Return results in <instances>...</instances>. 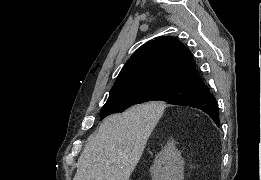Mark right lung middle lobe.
Listing matches in <instances>:
<instances>
[{
    "label": "right lung middle lobe",
    "mask_w": 261,
    "mask_h": 180,
    "mask_svg": "<svg viewBox=\"0 0 261 180\" xmlns=\"http://www.w3.org/2000/svg\"><path fill=\"white\" fill-rule=\"evenodd\" d=\"M201 89V83L181 80L154 81L120 88L110 92L100 116L103 119L109 114L123 112L135 104L149 101L171 102L179 97L199 92Z\"/></svg>",
    "instance_id": "1"
}]
</instances>
